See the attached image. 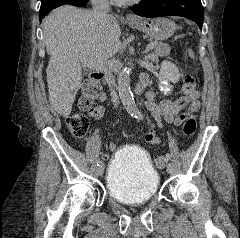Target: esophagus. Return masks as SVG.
I'll use <instances>...</instances> for the list:
<instances>
[{
  "instance_id": "esophagus-1",
  "label": "esophagus",
  "mask_w": 240,
  "mask_h": 238,
  "mask_svg": "<svg viewBox=\"0 0 240 238\" xmlns=\"http://www.w3.org/2000/svg\"><path fill=\"white\" fill-rule=\"evenodd\" d=\"M126 18H127L128 20H134V19H136V17H135L134 15H132V14H127V15H126Z\"/></svg>"
}]
</instances>
